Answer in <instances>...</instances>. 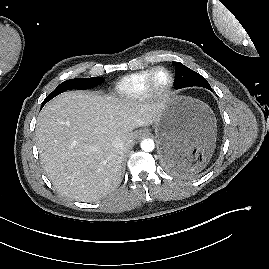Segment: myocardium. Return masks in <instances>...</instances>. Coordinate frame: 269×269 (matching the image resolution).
Here are the masks:
<instances>
[{"label": "myocardium", "instance_id": "obj_1", "mask_svg": "<svg viewBox=\"0 0 269 269\" xmlns=\"http://www.w3.org/2000/svg\"><path fill=\"white\" fill-rule=\"evenodd\" d=\"M161 71L167 74L168 81L164 86L158 87L156 85V76ZM173 86H174V75L171 72V70H169L167 67L164 66H158L151 71L147 79L145 86V95L149 98L161 100L164 99L166 96H168Z\"/></svg>", "mask_w": 269, "mask_h": 269}]
</instances>
